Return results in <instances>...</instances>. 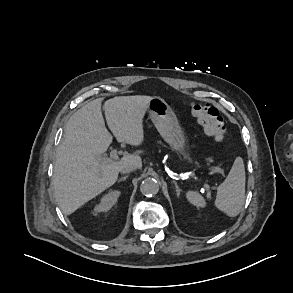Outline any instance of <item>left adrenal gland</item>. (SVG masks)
I'll return each instance as SVG.
<instances>
[{"instance_id": "a2214340", "label": "left adrenal gland", "mask_w": 293, "mask_h": 293, "mask_svg": "<svg viewBox=\"0 0 293 293\" xmlns=\"http://www.w3.org/2000/svg\"><path fill=\"white\" fill-rule=\"evenodd\" d=\"M173 183H174L175 188H176L177 197L179 198L181 189L179 188V186H178L176 181H173Z\"/></svg>"}]
</instances>
